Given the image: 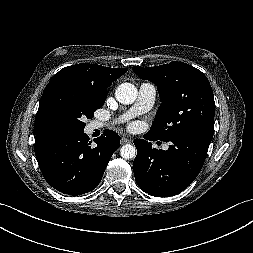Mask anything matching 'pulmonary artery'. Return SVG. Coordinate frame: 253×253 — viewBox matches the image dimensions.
Masks as SVG:
<instances>
[{"label":"pulmonary artery","instance_id":"pulmonary-artery-1","mask_svg":"<svg viewBox=\"0 0 253 253\" xmlns=\"http://www.w3.org/2000/svg\"><path fill=\"white\" fill-rule=\"evenodd\" d=\"M156 98V86L150 82H143L139 86V92H138V97L135 102V104L132 106V108L125 113L123 116L120 117L118 122L127 120L129 118H132L136 115L145 113L149 111L152 106L154 105ZM114 123V122H113ZM117 123V121H115ZM106 124L100 123V122H95L93 124V127L95 128H101L105 126ZM168 146L165 145L164 149H167Z\"/></svg>","mask_w":253,"mask_h":253}]
</instances>
